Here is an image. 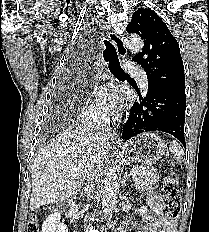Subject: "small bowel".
<instances>
[{"label": "small bowel", "mask_w": 209, "mask_h": 232, "mask_svg": "<svg viewBox=\"0 0 209 232\" xmlns=\"http://www.w3.org/2000/svg\"><path fill=\"white\" fill-rule=\"evenodd\" d=\"M147 203L155 215H144L145 223L139 227L137 232H175L176 221L163 217L160 197L150 192L147 196Z\"/></svg>", "instance_id": "small-bowel-1"}]
</instances>
